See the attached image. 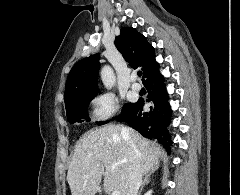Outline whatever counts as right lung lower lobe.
<instances>
[{
	"instance_id": "98d812e1",
	"label": "right lung lower lobe",
	"mask_w": 240,
	"mask_h": 195,
	"mask_svg": "<svg viewBox=\"0 0 240 195\" xmlns=\"http://www.w3.org/2000/svg\"><path fill=\"white\" fill-rule=\"evenodd\" d=\"M145 87L149 92L146 100H138L134 107L120 115L117 120L125 121L148 139H157L164 145H171V136L167 127L171 122L172 110L168 103L163 76L158 73ZM150 104V110L143 112V106Z\"/></svg>"
}]
</instances>
